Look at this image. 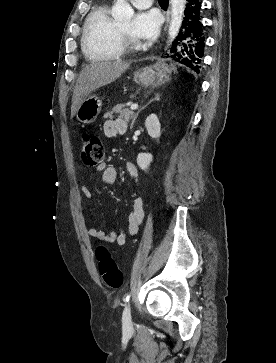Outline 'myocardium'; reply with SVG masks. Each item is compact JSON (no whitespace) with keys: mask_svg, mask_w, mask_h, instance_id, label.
Returning <instances> with one entry per match:
<instances>
[{"mask_svg":"<svg viewBox=\"0 0 276 363\" xmlns=\"http://www.w3.org/2000/svg\"><path fill=\"white\" fill-rule=\"evenodd\" d=\"M116 39L122 52L134 51L138 48V44L125 33L119 24L116 28Z\"/></svg>","mask_w":276,"mask_h":363,"instance_id":"obj_1","label":"myocardium"}]
</instances>
